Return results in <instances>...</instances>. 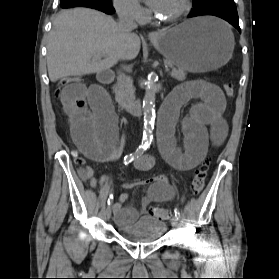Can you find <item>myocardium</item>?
Returning a JSON list of instances; mask_svg holds the SVG:
<instances>
[{"mask_svg": "<svg viewBox=\"0 0 279 279\" xmlns=\"http://www.w3.org/2000/svg\"><path fill=\"white\" fill-rule=\"evenodd\" d=\"M191 8V0H183V5L180 8V10L171 17H159L158 15L155 16V18L163 23H174L182 19Z\"/></svg>", "mask_w": 279, "mask_h": 279, "instance_id": "obj_1", "label": "myocardium"}]
</instances>
